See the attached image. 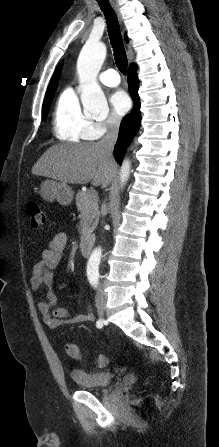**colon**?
Wrapping results in <instances>:
<instances>
[{"label":"colon","mask_w":219,"mask_h":447,"mask_svg":"<svg viewBox=\"0 0 219 447\" xmlns=\"http://www.w3.org/2000/svg\"><path fill=\"white\" fill-rule=\"evenodd\" d=\"M27 212L30 218V225L33 228H38L44 223V212L42 205L38 202H30L27 205ZM66 353L69 357L73 359H79L81 357V352L76 344L68 343L65 346ZM96 363L100 367H105L108 364V359L106 356L100 354L96 357Z\"/></svg>","instance_id":"colon-1"}]
</instances>
